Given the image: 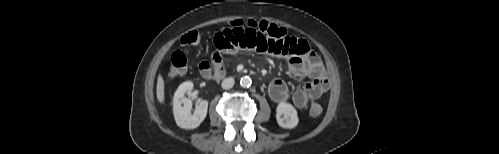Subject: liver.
<instances>
[{
  "instance_id": "6515ba94",
  "label": "liver",
  "mask_w": 499,
  "mask_h": 154,
  "mask_svg": "<svg viewBox=\"0 0 499 154\" xmlns=\"http://www.w3.org/2000/svg\"><path fill=\"white\" fill-rule=\"evenodd\" d=\"M156 95L160 104H164L165 102V83L161 74L158 75L157 79V87H156Z\"/></svg>"
}]
</instances>
